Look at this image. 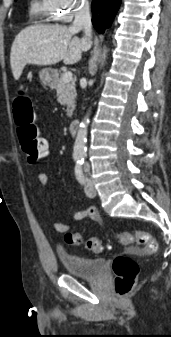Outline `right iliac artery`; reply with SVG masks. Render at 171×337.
<instances>
[{"mask_svg": "<svg viewBox=\"0 0 171 337\" xmlns=\"http://www.w3.org/2000/svg\"><path fill=\"white\" fill-rule=\"evenodd\" d=\"M75 159H79V157H75Z\"/></svg>", "mask_w": 171, "mask_h": 337, "instance_id": "obj_1", "label": "right iliac artery"}]
</instances>
